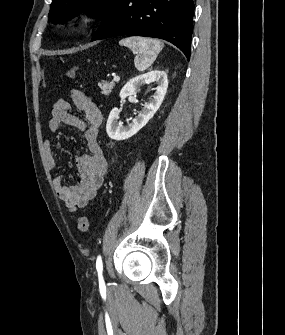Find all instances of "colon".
<instances>
[{
    "label": "colon",
    "instance_id": "colon-1",
    "mask_svg": "<svg viewBox=\"0 0 285 335\" xmlns=\"http://www.w3.org/2000/svg\"><path fill=\"white\" fill-rule=\"evenodd\" d=\"M77 69L75 66H71L67 70V76L71 79L76 77ZM77 228L81 232H87L89 230V221L86 216H79L77 218Z\"/></svg>",
    "mask_w": 285,
    "mask_h": 335
}]
</instances>
